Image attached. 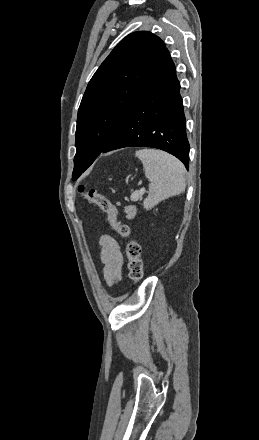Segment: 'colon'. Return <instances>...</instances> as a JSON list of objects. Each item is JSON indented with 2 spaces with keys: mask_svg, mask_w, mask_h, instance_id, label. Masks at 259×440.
<instances>
[{
  "mask_svg": "<svg viewBox=\"0 0 259 440\" xmlns=\"http://www.w3.org/2000/svg\"><path fill=\"white\" fill-rule=\"evenodd\" d=\"M79 192L89 203L99 207L107 216L112 229L126 240V256L128 259L129 277L138 282L143 276V260L141 256L140 244L130 236V228L121 223L117 218L116 207L104 195L95 189H86L83 185L79 187Z\"/></svg>",
  "mask_w": 259,
  "mask_h": 440,
  "instance_id": "1",
  "label": "colon"
}]
</instances>
